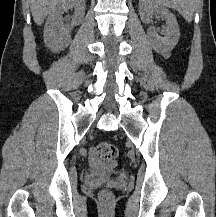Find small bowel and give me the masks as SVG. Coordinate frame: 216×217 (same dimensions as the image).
Masks as SVG:
<instances>
[{
	"instance_id": "c3829d8e",
	"label": "small bowel",
	"mask_w": 216,
	"mask_h": 217,
	"mask_svg": "<svg viewBox=\"0 0 216 217\" xmlns=\"http://www.w3.org/2000/svg\"><path fill=\"white\" fill-rule=\"evenodd\" d=\"M89 164L93 172L97 175H104L105 173L111 171V168L103 165L95 155V149L91 150Z\"/></svg>"
}]
</instances>
